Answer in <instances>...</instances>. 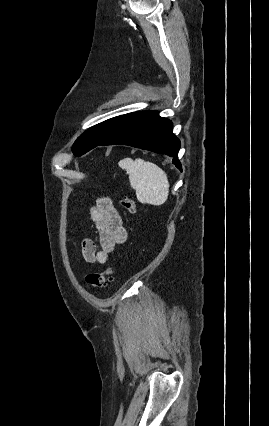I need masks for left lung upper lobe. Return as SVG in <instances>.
Instances as JSON below:
<instances>
[{"label":"left lung upper lobe","mask_w":269,"mask_h":426,"mask_svg":"<svg viewBox=\"0 0 269 426\" xmlns=\"http://www.w3.org/2000/svg\"><path fill=\"white\" fill-rule=\"evenodd\" d=\"M119 117V116H118ZM118 117L101 122L80 135L75 141L72 151L75 156H81L89 150L95 148L108 134Z\"/></svg>","instance_id":"obj_1"}]
</instances>
